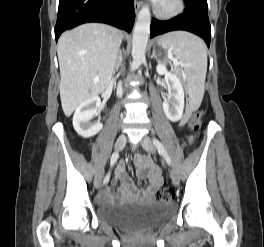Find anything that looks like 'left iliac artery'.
<instances>
[{
    "mask_svg": "<svg viewBox=\"0 0 264 247\" xmlns=\"http://www.w3.org/2000/svg\"><path fill=\"white\" fill-rule=\"evenodd\" d=\"M153 143L156 146V148L158 149L159 154H161L166 159L167 163L170 165L171 159H170L166 149L164 148L163 144L156 138L153 139Z\"/></svg>",
    "mask_w": 264,
    "mask_h": 247,
    "instance_id": "left-iliac-artery-1",
    "label": "left iliac artery"
}]
</instances>
